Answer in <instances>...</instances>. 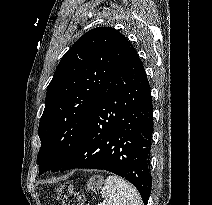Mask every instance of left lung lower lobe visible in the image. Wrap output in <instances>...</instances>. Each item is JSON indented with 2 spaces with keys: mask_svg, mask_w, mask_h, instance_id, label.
<instances>
[{
  "mask_svg": "<svg viewBox=\"0 0 212 205\" xmlns=\"http://www.w3.org/2000/svg\"><path fill=\"white\" fill-rule=\"evenodd\" d=\"M152 133L149 81L137 51L130 46L61 171L89 168L113 172L131 182L147 205Z\"/></svg>",
  "mask_w": 212,
  "mask_h": 205,
  "instance_id": "0a47b994",
  "label": "left lung lower lobe"
}]
</instances>
